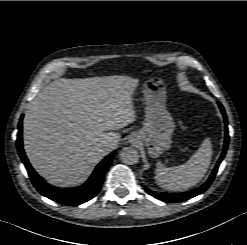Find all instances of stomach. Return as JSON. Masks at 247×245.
I'll use <instances>...</instances> for the list:
<instances>
[{
	"label": "stomach",
	"instance_id": "stomach-1",
	"mask_svg": "<svg viewBox=\"0 0 247 245\" xmlns=\"http://www.w3.org/2000/svg\"><path fill=\"white\" fill-rule=\"evenodd\" d=\"M166 93V85L161 77L152 76L143 83L145 119L137 136L145 143L152 157L170 148L175 130L173 117L166 109Z\"/></svg>",
	"mask_w": 247,
	"mask_h": 245
}]
</instances>
